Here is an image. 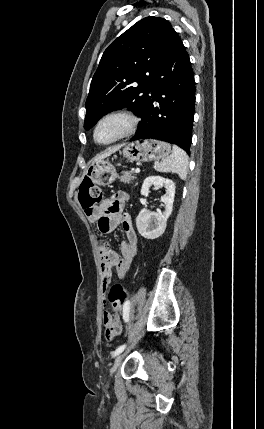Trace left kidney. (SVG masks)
Instances as JSON below:
<instances>
[{"mask_svg":"<svg viewBox=\"0 0 264 429\" xmlns=\"http://www.w3.org/2000/svg\"><path fill=\"white\" fill-rule=\"evenodd\" d=\"M152 185L165 187L166 194L161 197V201L165 204V211L162 213L142 209L138 214L136 218L137 230L141 236L147 239H156L165 232L167 219L173 210L175 196V184L161 176L147 177L142 184L141 195L147 196Z\"/></svg>","mask_w":264,"mask_h":429,"instance_id":"left-kidney-1","label":"left kidney"}]
</instances>
